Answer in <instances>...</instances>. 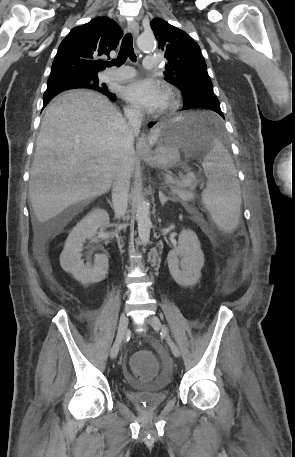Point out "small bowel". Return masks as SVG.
I'll use <instances>...</instances> for the list:
<instances>
[{
    "label": "small bowel",
    "instance_id": "small-bowel-1",
    "mask_svg": "<svg viewBox=\"0 0 295 457\" xmlns=\"http://www.w3.org/2000/svg\"><path fill=\"white\" fill-rule=\"evenodd\" d=\"M234 288H235V286H234L233 284H231V285L229 286V290H230V291H231V290H234Z\"/></svg>",
    "mask_w": 295,
    "mask_h": 457
}]
</instances>
